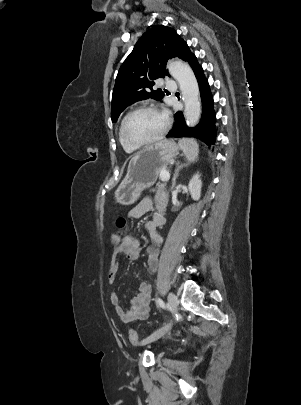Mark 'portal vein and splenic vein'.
<instances>
[{
    "label": "portal vein and splenic vein",
    "mask_w": 301,
    "mask_h": 405,
    "mask_svg": "<svg viewBox=\"0 0 301 405\" xmlns=\"http://www.w3.org/2000/svg\"><path fill=\"white\" fill-rule=\"evenodd\" d=\"M169 178H170L169 172H167V171H162V172L160 173V179H161L162 181H168Z\"/></svg>",
    "instance_id": "portal-vein-and-splenic-vein-1"
}]
</instances>
